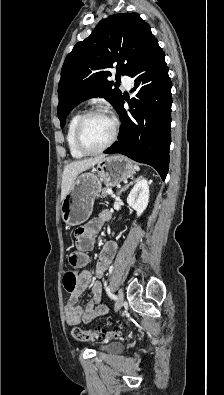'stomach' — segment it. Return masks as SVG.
I'll return each instance as SVG.
<instances>
[{
	"label": "stomach",
	"mask_w": 224,
	"mask_h": 395,
	"mask_svg": "<svg viewBox=\"0 0 224 395\" xmlns=\"http://www.w3.org/2000/svg\"><path fill=\"white\" fill-rule=\"evenodd\" d=\"M135 173L131 161L122 155H113L99 161L92 172L81 173L61 204L65 224L77 226L90 217L95 198L102 184L116 186Z\"/></svg>",
	"instance_id": "1"
}]
</instances>
